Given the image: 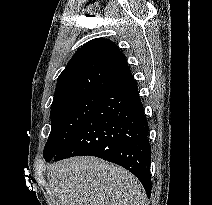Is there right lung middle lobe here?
Listing matches in <instances>:
<instances>
[{"instance_id": "dd1d6c3e", "label": "right lung middle lobe", "mask_w": 212, "mask_h": 205, "mask_svg": "<svg viewBox=\"0 0 212 205\" xmlns=\"http://www.w3.org/2000/svg\"><path fill=\"white\" fill-rule=\"evenodd\" d=\"M101 97L102 93L84 95L51 108V132L43 152L45 160L59 153L89 118Z\"/></svg>"}]
</instances>
